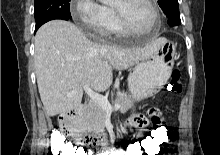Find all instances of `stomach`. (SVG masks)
<instances>
[{"mask_svg": "<svg viewBox=\"0 0 220 155\" xmlns=\"http://www.w3.org/2000/svg\"><path fill=\"white\" fill-rule=\"evenodd\" d=\"M159 40L154 54L138 63L128 77L129 91L137 102L156 95L171 76L175 46L166 38Z\"/></svg>", "mask_w": 220, "mask_h": 155, "instance_id": "1", "label": "stomach"}]
</instances>
